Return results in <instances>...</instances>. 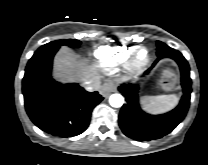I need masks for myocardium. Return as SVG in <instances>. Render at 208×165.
Here are the masks:
<instances>
[{
  "label": "myocardium",
  "instance_id": "obj_1",
  "mask_svg": "<svg viewBox=\"0 0 208 165\" xmlns=\"http://www.w3.org/2000/svg\"><path fill=\"white\" fill-rule=\"evenodd\" d=\"M142 52L146 53L144 58H141L140 56ZM150 59H151V54L149 50L145 47H139L135 50V52L132 55L131 65L134 69L141 70L149 64Z\"/></svg>",
  "mask_w": 208,
  "mask_h": 165
}]
</instances>
